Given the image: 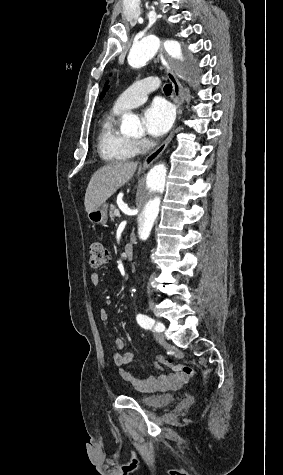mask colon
<instances>
[{
    "mask_svg": "<svg viewBox=\"0 0 283 475\" xmlns=\"http://www.w3.org/2000/svg\"><path fill=\"white\" fill-rule=\"evenodd\" d=\"M90 254V265L92 267H100L106 263L109 259V252L102 246L99 242H94L91 244L89 249ZM153 364L160 369V366H165L179 375V378H189L193 377L198 380L202 378L201 372L191 365H185L181 363H176L171 359H165L159 355H155L152 358Z\"/></svg>",
    "mask_w": 283,
    "mask_h": 475,
    "instance_id": "5ec220e1",
    "label": "colon"
}]
</instances>
